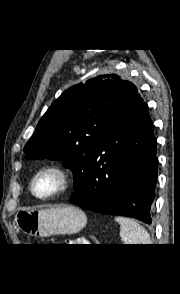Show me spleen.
Instances as JSON below:
<instances>
[{
    "mask_svg": "<svg viewBox=\"0 0 180 294\" xmlns=\"http://www.w3.org/2000/svg\"><path fill=\"white\" fill-rule=\"evenodd\" d=\"M115 221L120 224V237L124 244H150L148 232L134 219L116 216Z\"/></svg>",
    "mask_w": 180,
    "mask_h": 294,
    "instance_id": "obj_1",
    "label": "spleen"
}]
</instances>
